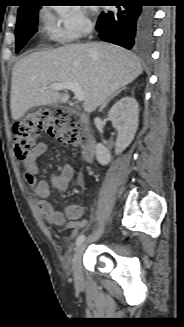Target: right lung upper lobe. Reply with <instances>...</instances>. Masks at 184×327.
Instances as JSON below:
<instances>
[{
	"instance_id": "1",
	"label": "right lung upper lobe",
	"mask_w": 184,
	"mask_h": 327,
	"mask_svg": "<svg viewBox=\"0 0 184 327\" xmlns=\"http://www.w3.org/2000/svg\"><path fill=\"white\" fill-rule=\"evenodd\" d=\"M20 3H21V5H20L18 11H22V10L36 6L37 0H21Z\"/></svg>"
}]
</instances>
